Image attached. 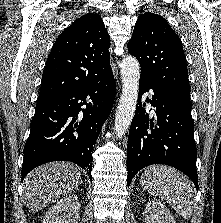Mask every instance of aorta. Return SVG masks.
I'll list each match as a JSON object with an SVG mask.
<instances>
[{
    "instance_id": "aorta-1",
    "label": "aorta",
    "mask_w": 221,
    "mask_h": 223,
    "mask_svg": "<svg viewBox=\"0 0 221 223\" xmlns=\"http://www.w3.org/2000/svg\"><path fill=\"white\" fill-rule=\"evenodd\" d=\"M120 69L123 88L114 123L116 138H122L130 127L137 105L140 78V66L133 56L125 57Z\"/></svg>"
}]
</instances>
